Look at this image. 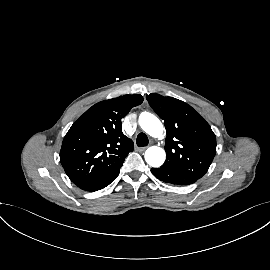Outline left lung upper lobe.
Instances as JSON below:
<instances>
[{
    "label": "left lung upper lobe",
    "instance_id": "left-lung-upper-lobe-1",
    "mask_svg": "<svg viewBox=\"0 0 270 270\" xmlns=\"http://www.w3.org/2000/svg\"><path fill=\"white\" fill-rule=\"evenodd\" d=\"M146 99L164 120L167 132L166 161L161 167L200 179L216 153V137L209 124L191 106L176 98L149 94Z\"/></svg>",
    "mask_w": 270,
    "mask_h": 270
}]
</instances>
